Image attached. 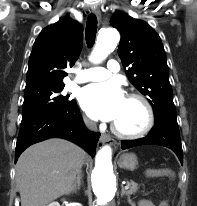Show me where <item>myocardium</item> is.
<instances>
[{
  "mask_svg": "<svg viewBox=\"0 0 197 206\" xmlns=\"http://www.w3.org/2000/svg\"><path fill=\"white\" fill-rule=\"evenodd\" d=\"M127 99L136 100L140 102V104L142 105L145 111V117H146L144 126L138 131L128 132V131H124L120 129L118 126H116L115 123H113L111 126V129L114 134L122 138L133 139V138L143 137L152 129L154 125L155 118H154V111H153L152 105L150 101L144 95L139 94V93H130L127 95Z\"/></svg>",
  "mask_w": 197,
  "mask_h": 206,
  "instance_id": "obj_1",
  "label": "myocardium"
}]
</instances>
